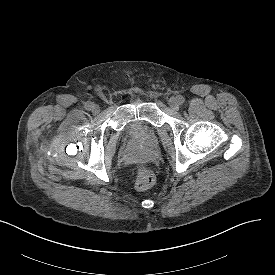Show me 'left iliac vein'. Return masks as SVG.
Listing matches in <instances>:
<instances>
[{"label":"left iliac vein","instance_id":"left-iliac-vein-1","mask_svg":"<svg viewBox=\"0 0 275 275\" xmlns=\"http://www.w3.org/2000/svg\"><path fill=\"white\" fill-rule=\"evenodd\" d=\"M169 105H170V107H171L173 110H178V109H179L180 103H179V101H178L177 98L171 97V98L169 99Z\"/></svg>","mask_w":275,"mask_h":275}]
</instances>
